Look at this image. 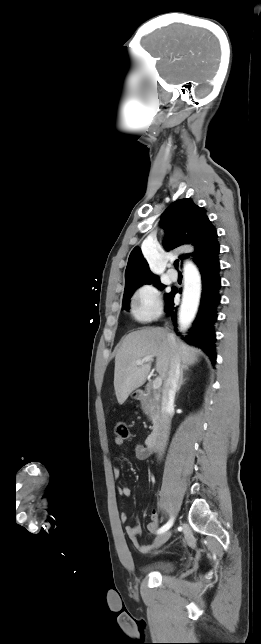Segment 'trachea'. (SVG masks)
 I'll return each mask as SVG.
<instances>
[{
	"instance_id": "1",
	"label": "trachea",
	"mask_w": 261,
	"mask_h": 644,
	"mask_svg": "<svg viewBox=\"0 0 261 644\" xmlns=\"http://www.w3.org/2000/svg\"><path fill=\"white\" fill-rule=\"evenodd\" d=\"M178 265H179V260H175V262H174V266H175V267H178Z\"/></svg>"
}]
</instances>
